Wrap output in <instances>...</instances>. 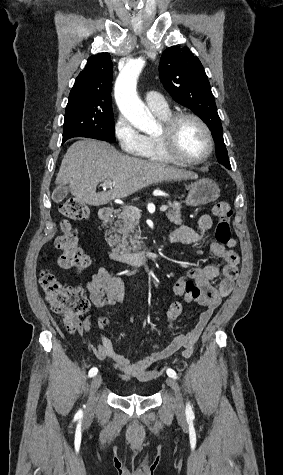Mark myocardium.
<instances>
[{
	"mask_svg": "<svg viewBox=\"0 0 283 475\" xmlns=\"http://www.w3.org/2000/svg\"><path fill=\"white\" fill-rule=\"evenodd\" d=\"M193 119L200 124L207 138V150L204 154L194 158L171 157L165 149L166 143L173 144L175 141V134L178 124L183 119ZM158 151L163 159V162H204L214 151V141L210 128L206 122L198 115L190 112L173 113L164 123L163 128L158 135Z\"/></svg>",
	"mask_w": 283,
	"mask_h": 475,
	"instance_id": "obj_1",
	"label": "myocardium"
}]
</instances>
